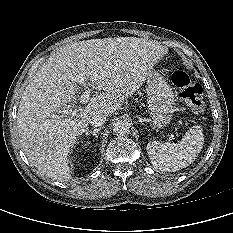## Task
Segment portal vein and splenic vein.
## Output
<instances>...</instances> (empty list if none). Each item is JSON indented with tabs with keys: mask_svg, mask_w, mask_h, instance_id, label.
I'll return each instance as SVG.
<instances>
[{
	"mask_svg": "<svg viewBox=\"0 0 233 233\" xmlns=\"http://www.w3.org/2000/svg\"><path fill=\"white\" fill-rule=\"evenodd\" d=\"M74 81L83 86L84 92L80 96V103L86 104L90 99V88L85 83V78L83 76H77L74 78ZM77 108H72V106H67L65 109L61 110L60 113L63 115L67 114H74L76 112ZM174 139V136H171V140Z\"/></svg>",
	"mask_w": 233,
	"mask_h": 233,
	"instance_id": "1",
	"label": "portal vein and splenic vein"
}]
</instances>
